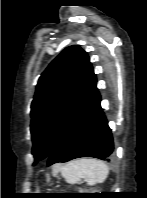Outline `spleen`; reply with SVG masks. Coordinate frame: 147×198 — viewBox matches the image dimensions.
Returning <instances> with one entry per match:
<instances>
[{"instance_id":"spleen-1","label":"spleen","mask_w":147,"mask_h":198,"mask_svg":"<svg viewBox=\"0 0 147 198\" xmlns=\"http://www.w3.org/2000/svg\"><path fill=\"white\" fill-rule=\"evenodd\" d=\"M61 175L69 184H76L81 179L87 185H96L103 183L109 173V168L101 160L94 158H82L71 161L60 167Z\"/></svg>"}]
</instances>
